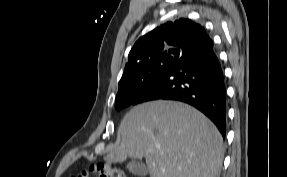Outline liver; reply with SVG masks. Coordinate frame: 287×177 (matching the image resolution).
<instances>
[{
    "label": "liver",
    "instance_id": "obj_1",
    "mask_svg": "<svg viewBox=\"0 0 287 177\" xmlns=\"http://www.w3.org/2000/svg\"><path fill=\"white\" fill-rule=\"evenodd\" d=\"M119 141L104 158H145L150 177H217L224 157L215 125L193 107L175 101L135 106L123 118Z\"/></svg>",
    "mask_w": 287,
    "mask_h": 177
}]
</instances>
